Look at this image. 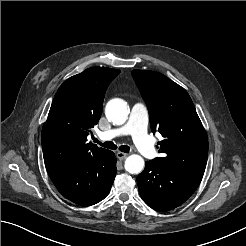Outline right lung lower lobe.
I'll return each mask as SVG.
<instances>
[{
  "instance_id": "98d812e1",
  "label": "right lung lower lobe",
  "mask_w": 246,
  "mask_h": 246,
  "mask_svg": "<svg viewBox=\"0 0 246 246\" xmlns=\"http://www.w3.org/2000/svg\"><path fill=\"white\" fill-rule=\"evenodd\" d=\"M116 171V157L108 150L103 155L77 160L48 173L65 198L79 205L90 206L108 195Z\"/></svg>"
}]
</instances>
